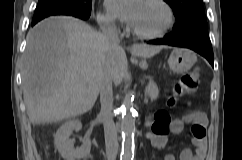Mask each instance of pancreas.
<instances>
[{
    "label": "pancreas",
    "instance_id": "obj_1",
    "mask_svg": "<svg viewBox=\"0 0 242 160\" xmlns=\"http://www.w3.org/2000/svg\"><path fill=\"white\" fill-rule=\"evenodd\" d=\"M145 93L147 96H149L151 101H154L158 98V87L157 85L153 82V81H149L146 89H145Z\"/></svg>",
    "mask_w": 242,
    "mask_h": 160
}]
</instances>
